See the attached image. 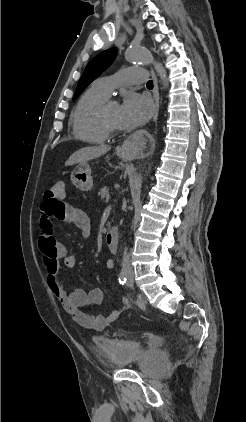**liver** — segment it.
Returning <instances> with one entry per match:
<instances>
[{"label": "liver", "mask_w": 246, "mask_h": 422, "mask_svg": "<svg viewBox=\"0 0 246 422\" xmlns=\"http://www.w3.org/2000/svg\"><path fill=\"white\" fill-rule=\"evenodd\" d=\"M111 147L109 145H100L95 147H85L76 152H74L69 159L66 161V166H71L74 164H82L86 161L96 159L107 153Z\"/></svg>", "instance_id": "6515ba94"}]
</instances>
